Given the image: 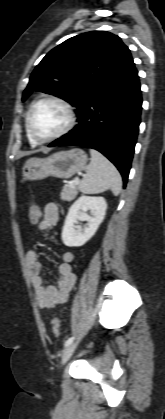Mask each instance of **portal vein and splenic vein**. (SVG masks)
<instances>
[{
  "label": "portal vein and splenic vein",
  "mask_w": 165,
  "mask_h": 419,
  "mask_svg": "<svg viewBox=\"0 0 165 419\" xmlns=\"http://www.w3.org/2000/svg\"><path fill=\"white\" fill-rule=\"evenodd\" d=\"M79 183V179L78 178H75L72 182H71V184H78Z\"/></svg>",
  "instance_id": "1"
}]
</instances>
